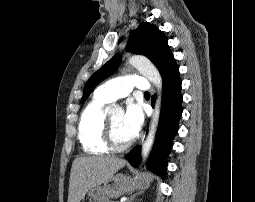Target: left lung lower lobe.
I'll list each match as a JSON object with an SVG mask.
<instances>
[{
	"label": "left lung lower lobe",
	"instance_id": "obj_1",
	"mask_svg": "<svg viewBox=\"0 0 255 202\" xmlns=\"http://www.w3.org/2000/svg\"><path fill=\"white\" fill-rule=\"evenodd\" d=\"M155 97V95L152 97V106H154ZM182 100L181 80L178 73L163 86L159 125L154 148L147 163L148 169L162 178L165 177L167 168L166 159L172 147L173 138L179 128V119L182 115ZM140 151L141 148L138 145L127 155L129 163L134 167H138L141 161Z\"/></svg>",
	"mask_w": 255,
	"mask_h": 202
}]
</instances>
